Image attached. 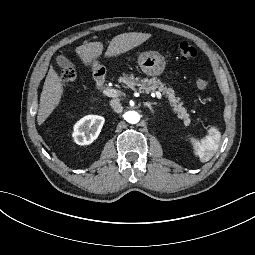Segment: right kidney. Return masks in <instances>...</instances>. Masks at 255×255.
Instances as JSON below:
<instances>
[{
	"label": "right kidney",
	"instance_id": "obj_1",
	"mask_svg": "<svg viewBox=\"0 0 255 255\" xmlns=\"http://www.w3.org/2000/svg\"><path fill=\"white\" fill-rule=\"evenodd\" d=\"M105 123L101 116H86L74 127V139L78 145L91 144L100 134Z\"/></svg>",
	"mask_w": 255,
	"mask_h": 255
}]
</instances>
